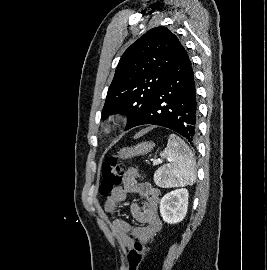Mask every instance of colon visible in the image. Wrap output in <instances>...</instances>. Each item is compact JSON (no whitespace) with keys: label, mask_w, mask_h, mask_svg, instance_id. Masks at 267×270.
<instances>
[{"label":"colon","mask_w":267,"mask_h":270,"mask_svg":"<svg viewBox=\"0 0 267 270\" xmlns=\"http://www.w3.org/2000/svg\"><path fill=\"white\" fill-rule=\"evenodd\" d=\"M102 180L99 191L102 195L114 192L123 179V167L114 157L107 158L102 164ZM147 246L137 241L128 253V270H139L144 260Z\"/></svg>","instance_id":"colon-1"}]
</instances>
